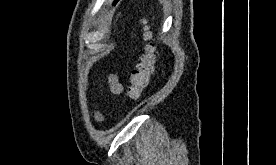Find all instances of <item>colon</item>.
I'll return each instance as SVG.
<instances>
[{"label": "colon", "instance_id": "5ec220e1", "mask_svg": "<svg viewBox=\"0 0 276 165\" xmlns=\"http://www.w3.org/2000/svg\"><path fill=\"white\" fill-rule=\"evenodd\" d=\"M143 38L146 43L143 47L139 62L132 71L130 86L127 91L128 97L133 100L138 99L149 85L150 78L155 72L157 62L155 47L150 42L151 33L146 25L144 27Z\"/></svg>", "mask_w": 276, "mask_h": 165}]
</instances>
